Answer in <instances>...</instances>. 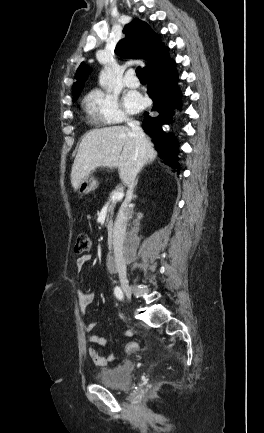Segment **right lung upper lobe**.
I'll return each instance as SVG.
<instances>
[{"label":"right lung upper lobe","mask_w":264,"mask_h":433,"mask_svg":"<svg viewBox=\"0 0 264 433\" xmlns=\"http://www.w3.org/2000/svg\"><path fill=\"white\" fill-rule=\"evenodd\" d=\"M124 38L119 41L115 52L124 58L143 59L147 65L143 68L144 73L169 60L168 47H165L159 36L153 32L151 27L140 19H133L123 30ZM90 70L85 63L77 69L73 85V99L78 98L87 80Z\"/></svg>","instance_id":"obj_1"}]
</instances>
